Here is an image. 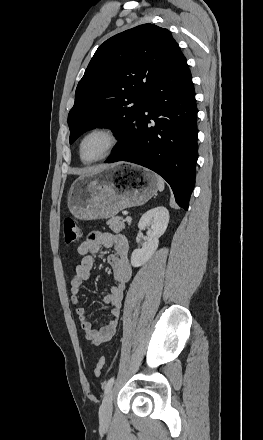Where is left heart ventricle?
<instances>
[{"label":"left heart ventricle","instance_id":"obj_1","mask_svg":"<svg viewBox=\"0 0 263 440\" xmlns=\"http://www.w3.org/2000/svg\"><path fill=\"white\" fill-rule=\"evenodd\" d=\"M109 145L108 137L102 133L88 136L82 145V156L90 160L101 156Z\"/></svg>","mask_w":263,"mask_h":440}]
</instances>
